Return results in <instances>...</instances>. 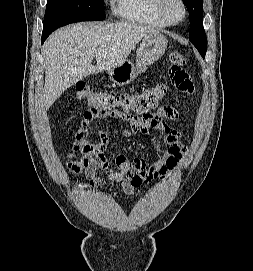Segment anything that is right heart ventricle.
<instances>
[{
  "mask_svg": "<svg viewBox=\"0 0 253 271\" xmlns=\"http://www.w3.org/2000/svg\"><path fill=\"white\" fill-rule=\"evenodd\" d=\"M114 2L116 13L126 21L156 29L169 26L157 11V0H114Z\"/></svg>",
  "mask_w": 253,
  "mask_h": 271,
  "instance_id": "1",
  "label": "right heart ventricle"
}]
</instances>
